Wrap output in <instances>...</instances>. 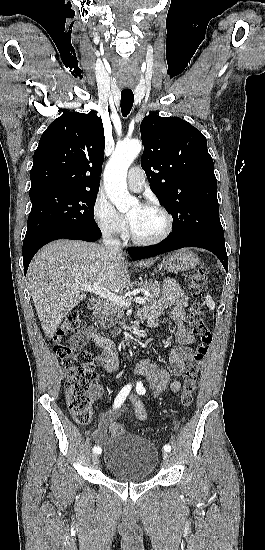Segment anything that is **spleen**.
I'll return each instance as SVG.
<instances>
[{
	"instance_id": "obj_1",
	"label": "spleen",
	"mask_w": 265,
	"mask_h": 550,
	"mask_svg": "<svg viewBox=\"0 0 265 550\" xmlns=\"http://www.w3.org/2000/svg\"><path fill=\"white\" fill-rule=\"evenodd\" d=\"M206 304L211 310H213L215 308V302L213 301V299L210 295H207V297H206Z\"/></svg>"
}]
</instances>
